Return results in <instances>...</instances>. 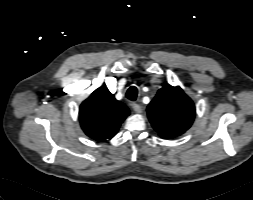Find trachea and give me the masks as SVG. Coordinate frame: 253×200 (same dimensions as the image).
Returning a JSON list of instances; mask_svg holds the SVG:
<instances>
[{
  "label": "trachea",
  "instance_id": "obj_1",
  "mask_svg": "<svg viewBox=\"0 0 253 200\" xmlns=\"http://www.w3.org/2000/svg\"><path fill=\"white\" fill-rule=\"evenodd\" d=\"M137 94V88L135 86H131L126 92V97L131 101H135L137 98Z\"/></svg>",
  "mask_w": 253,
  "mask_h": 200
}]
</instances>
